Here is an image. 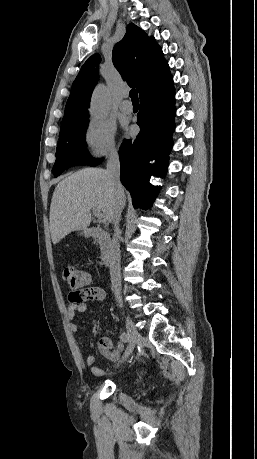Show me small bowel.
<instances>
[{"instance_id":"1","label":"small bowel","mask_w":257,"mask_h":459,"mask_svg":"<svg viewBox=\"0 0 257 459\" xmlns=\"http://www.w3.org/2000/svg\"><path fill=\"white\" fill-rule=\"evenodd\" d=\"M88 292L90 294L89 297L83 301L74 300L77 293L76 290H72L68 294L69 305L67 307V317L70 321L69 327L72 332H77L79 330V325L75 322V319L77 314L86 312L88 301H104L106 298L105 290L101 287H89ZM97 347L100 353L110 361H117L124 349L123 343H114L108 336L101 337L97 343ZM86 363L94 375L102 376L104 374V370L97 366L95 357L92 354L86 356Z\"/></svg>"}]
</instances>
